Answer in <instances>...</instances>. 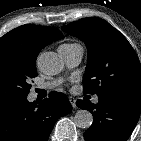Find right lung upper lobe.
<instances>
[{
  "label": "right lung upper lobe",
  "instance_id": "cb5924a9",
  "mask_svg": "<svg viewBox=\"0 0 141 141\" xmlns=\"http://www.w3.org/2000/svg\"><path fill=\"white\" fill-rule=\"evenodd\" d=\"M61 38L63 34L58 29L32 24L22 25L0 38V54L14 51L36 60L42 48Z\"/></svg>",
  "mask_w": 141,
  "mask_h": 141
}]
</instances>
